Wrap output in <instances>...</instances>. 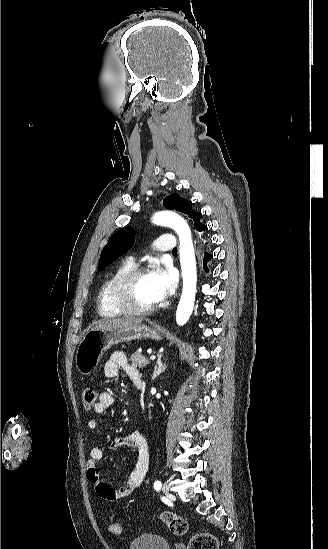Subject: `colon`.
I'll list each match as a JSON object with an SVG mask.
<instances>
[{
	"instance_id": "5ec220e1",
	"label": "colon",
	"mask_w": 328,
	"mask_h": 549,
	"mask_svg": "<svg viewBox=\"0 0 328 549\" xmlns=\"http://www.w3.org/2000/svg\"><path fill=\"white\" fill-rule=\"evenodd\" d=\"M97 399V392L90 387H87L82 392V404L83 408L90 410L94 407ZM160 519L164 522L169 530L178 536H182L188 532V522L181 516L172 512H163L160 515ZM108 530L119 535L122 533V526L117 523H111L108 525ZM218 541L216 537L208 532H201L195 534L189 541L187 549H217Z\"/></svg>"
}]
</instances>
